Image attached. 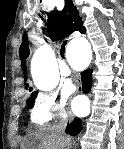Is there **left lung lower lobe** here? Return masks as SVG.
I'll list each match as a JSON object with an SVG mask.
<instances>
[{
	"label": "left lung lower lobe",
	"instance_id": "obj_1",
	"mask_svg": "<svg viewBox=\"0 0 124 149\" xmlns=\"http://www.w3.org/2000/svg\"><path fill=\"white\" fill-rule=\"evenodd\" d=\"M92 70L88 69L81 73L82 88L84 93H88L92 86Z\"/></svg>",
	"mask_w": 124,
	"mask_h": 149
}]
</instances>
